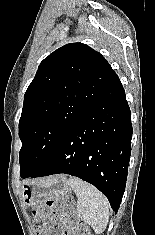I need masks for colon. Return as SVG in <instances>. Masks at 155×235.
Listing matches in <instances>:
<instances>
[{
    "label": "colon",
    "instance_id": "colon-1",
    "mask_svg": "<svg viewBox=\"0 0 155 235\" xmlns=\"http://www.w3.org/2000/svg\"><path fill=\"white\" fill-rule=\"evenodd\" d=\"M74 204L69 198L47 201L35 212L37 235H91L86 224L74 217ZM64 230L60 232V224Z\"/></svg>",
    "mask_w": 155,
    "mask_h": 235
}]
</instances>
